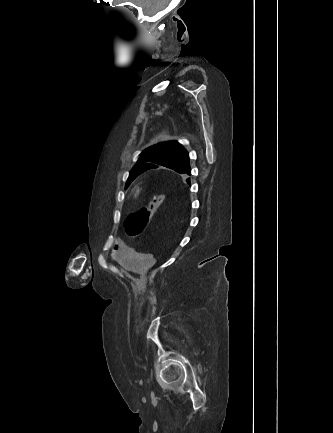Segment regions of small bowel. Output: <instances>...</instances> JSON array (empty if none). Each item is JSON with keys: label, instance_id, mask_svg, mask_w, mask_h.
<instances>
[{"label": "small bowel", "instance_id": "1", "mask_svg": "<svg viewBox=\"0 0 333 433\" xmlns=\"http://www.w3.org/2000/svg\"><path fill=\"white\" fill-rule=\"evenodd\" d=\"M112 259L123 268L139 273H146L156 263L152 253H141L122 243H116L113 247Z\"/></svg>", "mask_w": 333, "mask_h": 433}]
</instances>
